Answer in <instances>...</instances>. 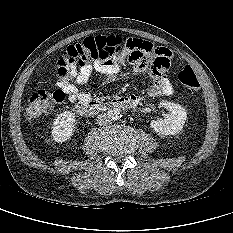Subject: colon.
Masks as SVG:
<instances>
[{"instance_id": "1", "label": "colon", "mask_w": 233, "mask_h": 233, "mask_svg": "<svg viewBox=\"0 0 233 233\" xmlns=\"http://www.w3.org/2000/svg\"><path fill=\"white\" fill-rule=\"evenodd\" d=\"M129 40V39H128ZM119 36L88 37L80 42L68 46L58 60V73H67L73 68L82 67L95 62L110 63L114 60L121 61L125 58V43ZM181 84L197 92L200 82L190 66L184 67L178 74ZM65 99L62 90L49 91L39 89L34 91L28 102L27 114L30 117L39 116L48 111L54 104Z\"/></svg>"}]
</instances>
